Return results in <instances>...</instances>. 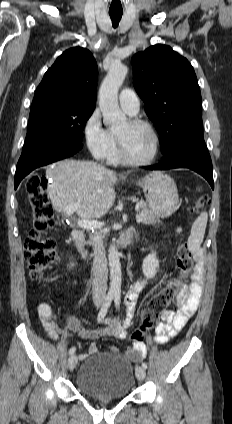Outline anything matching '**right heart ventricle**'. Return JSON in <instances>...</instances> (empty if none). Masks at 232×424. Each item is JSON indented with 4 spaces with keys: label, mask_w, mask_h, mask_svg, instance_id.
Listing matches in <instances>:
<instances>
[{
    "label": "right heart ventricle",
    "mask_w": 232,
    "mask_h": 424,
    "mask_svg": "<svg viewBox=\"0 0 232 424\" xmlns=\"http://www.w3.org/2000/svg\"><path fill=\"white\" fill-rule=\"evenodd\" d=\"M107 159H108V161L111 164H119V163H121V160H120L119 155H118V152H117V147H116V144H115V140H114V145H113L110 153L107 156Z\"/></svg>",
    "instance_id": "e07e8e85"
}]
</instances>
